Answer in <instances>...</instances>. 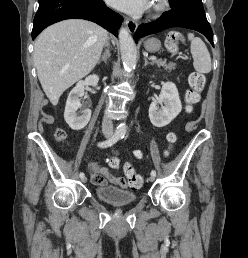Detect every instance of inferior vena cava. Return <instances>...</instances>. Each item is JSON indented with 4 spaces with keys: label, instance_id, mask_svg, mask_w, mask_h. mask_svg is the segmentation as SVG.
I'll use <instances>...</instances> for the list:
<instances>
[{
    "label": "inferior vena cava",
    "instance_id": "inferior-vena-cava-1",
    "mask_svg": "<svg viewBox=\"0 0 248 258\" xmlns=\"http://www.w3.org/2000/svg\"><path fill=\"white\" fill-rule=\"evenodd\" d=\"M102 132L108 135L113 134V122L112 118L109 115H106L103 119Z\"/></svg>",
    "mask_w": 248,
    "mask_h": 258
}]
</instances>
